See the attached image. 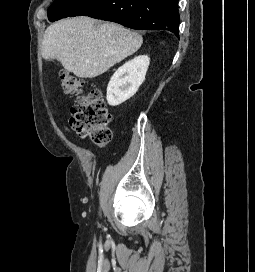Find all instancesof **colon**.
<instances>
[{"label":"colon","instance_id":"5ec220e1","mask_svg":"<svg viewBox=\"0 0 255 272\" xmlns=\"http://www.w3.org/2000/svg\"><path fill=\"white\" fill-rule=\"evenodd\" d=\"M59 76L64 93L77 97L71 109V128L79 136L88 137L95 145L107 146L112 138V115L101 92L66 70L60 71Z\"/></svg>","mask_w":255,"mask_h":272}]
</instances>
